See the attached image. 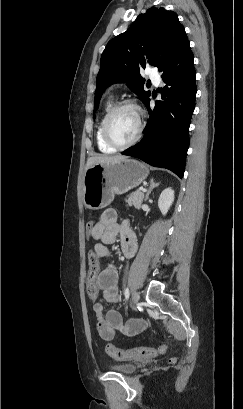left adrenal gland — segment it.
Listing matches in <instances>:
<instances>
[{"instance_id": "left-adrenal-gland-1", "label": "left adrenal gland", "mask_w": 243, "mask_h": 409, "mask_svg": "<svg viewBox=\"0 0 243 409\" xmlns=\"http://www.w3.org/2000/svg\"><path fill=\"white\" fill-rule=\"evenodd\" d=\"M158 185H159V183H156V182L154 181V179H151V181H150V186H149V190H148V192H147V194H146V196H145V200H148V198H149V196H150L152 190H153L154 188H156Z\"/></svg>"}]
</instances>
